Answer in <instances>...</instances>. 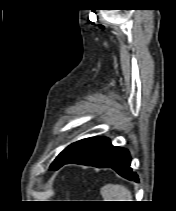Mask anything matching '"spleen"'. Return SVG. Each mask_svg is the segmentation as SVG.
I'll return each instance as SVG.
<instances>
[{"mask_svg": "<svg viewBox=\"0 0 176 211\" xmlns=\"http://www.w3.org/2000/svg\"><path fill=\"white\" fill-rule=\"evenodd\" d=\"M104 201H133L128 188L121 184H107L101 188Z\"/></svg>", "mask_w": 176, "mask_h": 211, "instance_id": "1", "label": "spleen"}]
</instances>
